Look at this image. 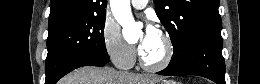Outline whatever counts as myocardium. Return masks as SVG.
<instances>
[{"label": "myocardium", "mask_w": 260, "mask_h": 84, "mask_svg": "<svg viewBox=\"0 0 260 84\" xmlns=\"http://www.w3.org/2000/svg\"><path fill=\"white\" fill-rule=\"evenodd\" d=\"M159 36L161 37L163 44L165 46V54L163 59L160 62L155 64H150L142 58L140 53H138L139 64L146 71H151V72L162 71L168 68L173 60L174 44L171 37L165 31H160Z\"/></svg>", "instance_id": "f54148a6"}]
</instances>
